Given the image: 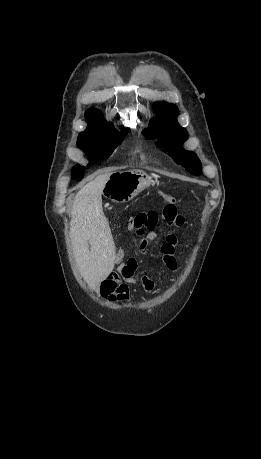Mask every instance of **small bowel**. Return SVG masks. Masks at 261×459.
I'll list each match as a JSON object with an SVG mask.
<instances>
[{"mask_svg":"<svg viewBox=\"0 0 261 459\" xmlns=\"http://www.w3.org/2000/svg\"><path fill=\"white\" fill-rule=\"evenodd\" d=\"M133 220H130L128 229L132 230ZM142 235V233H139ZM157 238V233L152 230L147 234L142 235L139 244L142 250L148 248V244ZM177 246V236L169 238L166 236V240L161 247L162 260L166 267L170 270L176 269V258L175 249ZM137 269L136 260L130 258L126 263L121 264L115 272L110 273L106 276L100 284L101 296L110 302H126L130 298V286L141 285L142 289L150 294L155 289L156 277L148 273L142 274L140 278L135 277Z\"/></svg>","mask_w":261,"mask_h":459,"instance_id":"obj_1","label":"small bowel"}]
</instances>
